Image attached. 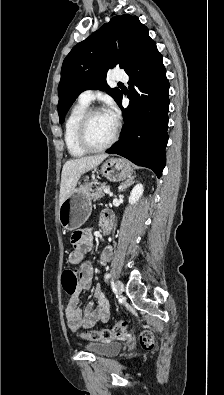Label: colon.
<instances>
[{
  "instance_id": "1",
  "label": "colon",
  "mask_w": 224,
  "mask_h": 395,
  "mask_svg": "<svg viewBox=\"0 0 224 395\" xmlns=\"http://www.w3.org/2000/svg\"><path fill=\"white\" fill-rule=\"evenodd\" d=\"M63 288L68 294H74L77 289V275L74 270L68 269L63 273ZM127 322L119 320L109 328L82 332L79 337L89 341H107L121 337L125 334ZM141 345L146 349L154 347V337L149 331L141 334Z\"/></svg>"
}]
</instances>
